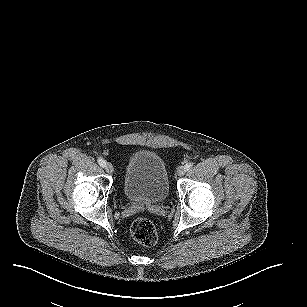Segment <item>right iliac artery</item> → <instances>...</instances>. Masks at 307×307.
I'll return each instance as SVG.
<instances>
[{
    "instance_id": "1",
    "label": "right iliac artery",
    "mask_w": 307,
    "mask_h": 307,
    "mask_svg": "<svg viewBox=\"0 0 307 307\" xmlns=\"http://www.w3.org/2000/svg\"><path fill=\"white\" fill-rule=\"evenodd\" d=\"M97 161H98V164H99L100 166H102V167H104L105 164H106L105 160H103V159H101V158H99Z\"/></svg>"
}]
</instances>
